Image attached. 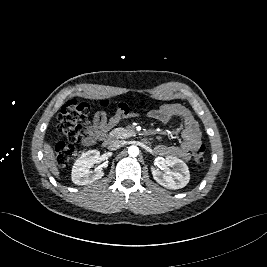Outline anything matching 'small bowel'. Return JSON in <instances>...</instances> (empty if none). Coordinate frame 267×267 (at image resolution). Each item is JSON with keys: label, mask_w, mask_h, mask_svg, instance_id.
I'll list each match as a JSON object with an SVG mask.
<instances>
[{"label": "small bowel", "mask_w": 267, "mask_h": 267, "mask_svg": "<svg viewBox=\"0 0 267 267\" xmlns=\"http://www.w3.org/2000/svg\"><path fill=\"white\" fill-rule=\"evenodd\" d=\"M128 105L120 103L116 114L107 119L104 112H97L92 124L86 130L85 145H93L102 139L107 131L116 126L122 119L131 116ZM150 117L160 122H169L174 119L183 124L181 133L182 142L179 145H157L155 153L160 156L177 157L183 160L190 158L191 151L201 144V132L197 121L190 110L181 104H165L150 112Z\"/></svg>", "instance_id": "obj_1"}]
</instances>
